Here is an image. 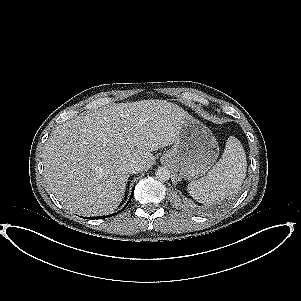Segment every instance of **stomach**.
Here are the masks:
<instances>
[{"label": "stomach", "mask_w": 301, "mask_h": 301, "mask_svg": "<svg viewBox=\"0 0 301 301\" xmlns=\"http://www.w3.org/2000/svg\"><path fill=\"white\" fill-rule=\"evenodd\" d=\"M219 156V146L212 132L194 118L181 124L178 138L161 161L172 164L187 180L205 175Z\"/></svg>", "instance_id": "obj_1"}]
</instances>
